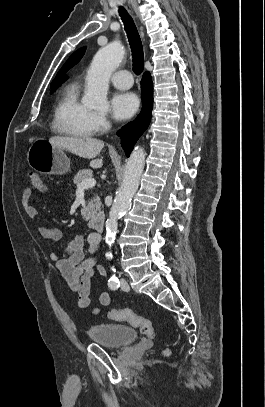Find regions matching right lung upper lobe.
Segmentation results:
<instances>
[{
	"mask_svg": "<svg viewBox=\"0 0 265 407\" xmlns=\"http://www.w3.org/2000/svg\"><path fill=\"white\" fill-rule=\"evenodd\" d=\"M85 50H86V47H83V48L77 50L75 53H73L70 56V58L67 60V62L64 64V66L57 73V76L52 81L51 85L61 84L67 79V76L64 75V73H66L70 68H72L75 64H77L81 60V58L83 57V55L85 53Z\"/></svg>",
	"mask_w": 265,
	"mask_h": 407,
	"instance_id": "1",
	"label": "right lung upper lobe"
}]
</instances>
